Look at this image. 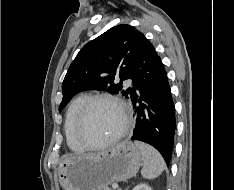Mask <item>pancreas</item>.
<instances>
[{"instance_id": "cf45deb5", "label": "pancreas", "mask_w": 234, "mask_h": 190, "mask_svg": "<svg viewBox=\"0 0 234 190\" xmlns=\"http://www.w3.org/2000/svg\"><path fill=\"white\" fill-rule=\"evenodd\" d=\"M104 190H111V189L107 187V188H105Z\"/></svg>"}]
</instances>
